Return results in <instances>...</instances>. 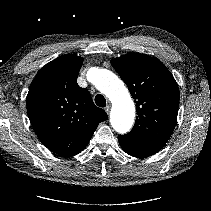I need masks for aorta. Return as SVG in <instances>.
Returning a JSON list of instances; mask_svg holds the SVG:
<instances>
[{
	"instance_id": "762f6f07",
	"label": "aorta",
	"mask_w": 211,
	"mask_h": 211,
	"mask_svg": "<svg viewBox=\"0 0 211 211\" xmlns=\"http://www.w3.org/2000/svg\"><path fill=\"white\" fill-rule=\"evenodd\" d=\"M90 81L112 102L111 125L120 134L127 133L135 118V105L124 83L107 69L92 68L88 72Z\"/></svg>"
}]
</instances>
